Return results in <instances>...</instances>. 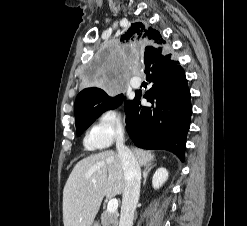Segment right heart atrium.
<instances>
[{"instance_id":"1","label":"right heart atrium","mask_w":247,"mask_h":226,"mask_svg":"<svg viewBox=\"0 0 247 226\" xmlns=\"http://www.w3.org/2000/svg\"><path fill=\"white\" fill-rule=\"evenodd\" d=\"M126 131L121 112L117 108H105L97 115L85 137L92 149H105L121 139Z\"/></svg>"}]
</instances>
